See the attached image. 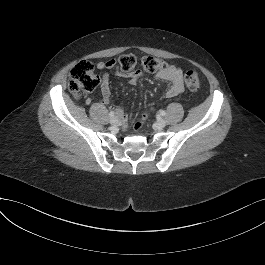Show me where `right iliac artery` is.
I'll return each instance as SVG.
<instances>
[{"instance_id":"obj_1","label":"right iliac artery","mask_w":265,"mask_h":265,"mask_svg":"<svg viewBox=\"0 0 265 265\" xmlns=\"http://www.w3.org/2000/svg\"><path fill=\"white\" fill-rule=\"evenodd\" d=\"M109 116H110L111 118L114 117V112L111 111V112L109 113Z\"/></svg>"}]
</instances>
